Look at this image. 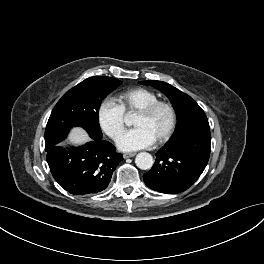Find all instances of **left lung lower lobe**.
<instances>
[{
	"label": "left lung lower lobe",
	"instance_id": "0a47b994",
	"mask_svg": "<svg viewBox=\"0 0 264 264\" xmlns=\"http://www.w3.org/2000/svg\"><path fill=\"white\" fill-rule=\"evenodd\" d=\"M210 132L168 141L156 154L150 171L143 175L152 190L177 194L191 187L204 171L210 156Z\"/></svg>",
	"mask_w": 264,
	"mask_h": 264
}]
</instances>
